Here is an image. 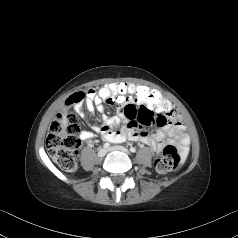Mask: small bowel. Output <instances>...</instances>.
Listing matches in <instances>:
<instances>
[{
    "label": "small bowel",
    "mask_w": 238,
    "mask_h": 238,
    "mask_svg": "<svg viewBox=\"0 0 238 238\" xmlns=\"http://www.w3.org/2000/svg\"><path fill=\"white\" fill-rule=\"evenodd\" d=\"M119 86L121 87L119 99L116 103H108L119 106L115 116L106 114L104 103L98 100V94H95L93 89L85 94L86 108L89 111L96 109L101 113L102 123L92 125V131H82L80 139L87 141L101 135L104 140L113 143H120L125 140L136 141L148 145L157 153L161 152L167 145L175 143L184 158L189 150L190 139L185 132L184 125L179 120L178 114L172 110L171 104L164 100L165 105L153 110L152 113L150 111L152 108L145 104V98L151 92L148 88H146V97L138 99L134 95L136 86L123 83H119ZM154 93L157 94V92ZM66 102L65 106L69 107ZM81 102L74 104V106L82 116ZM154 124L159 128L151 134L142 127L143 125L152 126ZM120 125H122L121 129L116 131Z\"/></svg>",
    "instance_id": "small-bowel-1"
}]
</instances>
